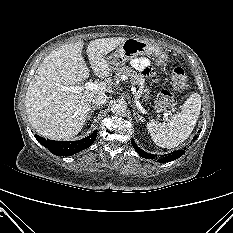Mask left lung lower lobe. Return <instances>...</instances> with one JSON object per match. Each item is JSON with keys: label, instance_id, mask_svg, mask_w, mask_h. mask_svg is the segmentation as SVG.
I'll return each mask as SVG.
<instances>
[{"label": "left lung lower lobe", "instance_id": "1", "mask_svg": "<svg viewBox=\"0 0 233 233\" xmlns=\"http://www.w3.org/2000/svg\"><path fill=\"white\" fill-rule=\"evenodd\" d=\"M198 132H201L198 131ZM197 138V136H195L193 138V140H195ZM132 146L133 148L136 150V152L143 158H147V159H156V155H153V154H148L147 152L143 151L142 149H140L137 144L135 143L134 140H132ZM185 153V150H178V151H174V152H171L169 154H166L164 156H162V158H160L158 160V162H161V163H164V162H169V161H173L179 157H181L183 154Z\"/></svg>", "mask_w": 233, "mask_h": 233}]
</instances>
